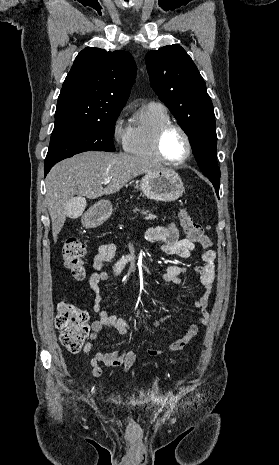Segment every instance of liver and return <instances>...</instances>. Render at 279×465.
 <instances>
[{
  "instance_id": "6515ba94",
  "label": "liver",
  "mask_w": 279,
  "mask_h": 465,
  "mask_svg": "<svg viewBox=\"0 0 279 465\" xmlns=\"http://www.w3.org/2000/svg\"><path fill=\"white\" fill-rule=\"evenodd\" d=\"M160 171L147 159L125 154L88 151L57 163L46 177V205L56 243L67 216V203L75 195L86 200L111 195L133 178ZM110 182L104 188L105 180Z\"/></svg>"
}]
</instances>
